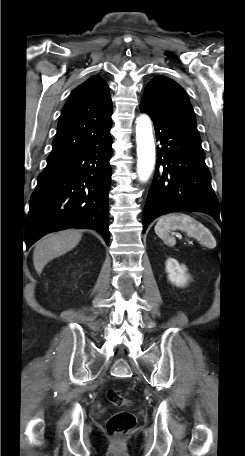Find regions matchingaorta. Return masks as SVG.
<instances>
[{
    "label": "aorta",
    "mask_w": 245,
    "mask_h": 456,
    "mask_svg": "<svg viewBox=\"0 0 245 456\" xmlns=\"http://www.w3.org/2000/svg\"><path fill=\"white\" fill-rule=\"evenodd\" d=\"M137 173L141 182H146L155 165V143L152 125L147 115L136 120Z\"/></svg>",
    "instance_id": "762f6f07"
}]
</instances>
